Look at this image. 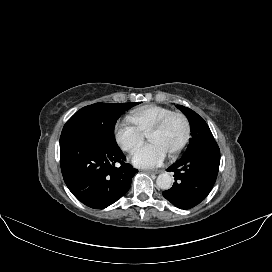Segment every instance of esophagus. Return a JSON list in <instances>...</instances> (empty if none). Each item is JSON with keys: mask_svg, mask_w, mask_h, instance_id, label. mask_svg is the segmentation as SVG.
<instances>
[{"mask_svg": "<svg viewBox=\"0 0 272 272\" xmlns=\"http://www.w3.org/2000/svg\"><path fill=\"white\" fill-rule=\"evenodd\" d=\"M147 174H159L162 172V170H144Z\"/></svg>", "mask_w": 272, "mask_h": 272, "instance_id": "obj_1", "label": "esophagus"}]
</instances>
